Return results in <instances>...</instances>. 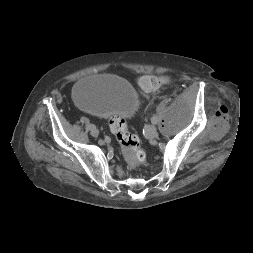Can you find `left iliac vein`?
Instances as JSON below:
<instances>
[{"mask_svg": "<svg viewBox=\"0 0 253 253\" xmlns=\"http://www.w3.org/2000/svg\"><path fill=\"white\" fill-rule=\"evenodd\" d=\"M150 134L152 137H155L158 134L157 128L155 126L150 127Z\"/></svg>", "mask_w": 253, "mask_h": 253, "instance_id": "left-iliac-vein-1", "label": "left iliac vein"}]
</instances>
